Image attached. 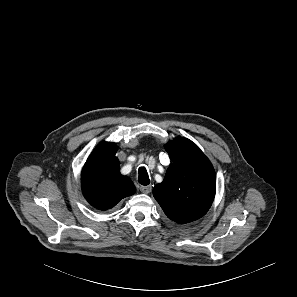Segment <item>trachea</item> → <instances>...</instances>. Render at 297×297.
<instances>
[{
	"label": "trachea",
	"mask_w": 297,
	"mask_h": 297,
	"mask_svg": "<svg viewBox=\"0 0 297 297\" xmlns=\"http://www.w3.org/2000/svg\"><path fill=\"white\" fill-rule=\"evenodd\" d=\"M138 172H139L138 182L144 186L148 185L150 183V179H149L146 168L140 167Z\"/></svg>",
	"instance_id": "trachea-1"
}]
</instances>
